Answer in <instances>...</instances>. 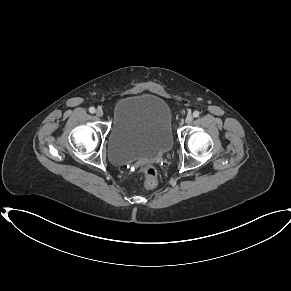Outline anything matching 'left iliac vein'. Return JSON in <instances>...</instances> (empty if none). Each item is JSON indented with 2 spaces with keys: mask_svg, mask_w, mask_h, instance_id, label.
<instances>
[{
  "mask_svg": "<svg viewBox=\"0 0 291 291\" xmlns=\"http://www.w3.org/2000/svg\"><path fill=\"white\" fill-rule=\"evenodd\" d=\"M193 121V116L191 114L187 115L185 122L186 123H191Z\"/></svg>",
  "mask_w": 291,
  "mask_h": 291,
  "instance_id": "1",
  "label": "left iliac vein"
}]
</instances>
